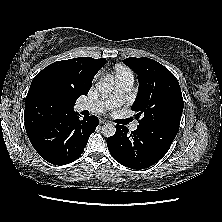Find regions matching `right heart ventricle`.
<instances>
[{"label":"right heart ventricle","mask_w":222,"mask_h":222,"mask_svg":"<svg viewBox=\"0 0 222 222\" xmlns=\"http://www.w3.org/2000/svg\"><path fill=\"white\" fill-rule=\"evenodd\" d=\"M126 75H130L132 76V72L124 67V66H118L116 67V70H115V79L121 77V76H126Z\"/></svg>","instance_id":"1"}]
</instances>
